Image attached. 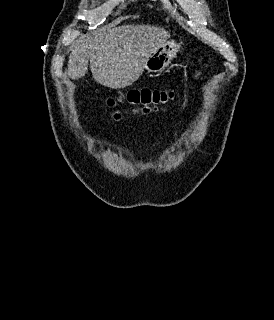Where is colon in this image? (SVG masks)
<instances>
[{
  "label": "colon",
  "instance_id": "obj_1",
  "mask_svg": "<svg viewBox=\"0 0 274 320\" xmlns=\"http://www.w3.org/2000/svg\"><path fill=\"white\" fill-rule=\"evenodd\" d=\"M176 96L177 91L174 89L141 87L130 89L117 97L110 98L105 105L108 107L127 105L122 111L112 115L113 119H120L127 113H150L152 110H158L173 101Z\"/></svg>",
  "mask_w": 274,
  "mask_h": 320
}]
</instances>
